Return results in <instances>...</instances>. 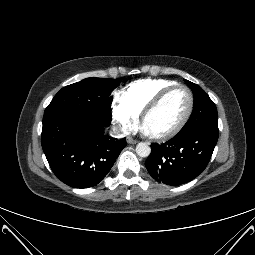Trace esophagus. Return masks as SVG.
Here are the masks:
<instances>
[{"instance_id":"34e87169","label":"esophagus","mask_w":255,"mask_h":255,"mask_svg":"<svg viewBox=\"0 0 255 255\" xmlns=\"http://www.w3.org/2000/svg\"><path fill=\"white\" fill-rule=\"evenodd\" d=\"M127 143H128V144H136V143H137V140H135V139H133V138H131V137H128V138H127Z\"/></svg>"}]
</instances>
